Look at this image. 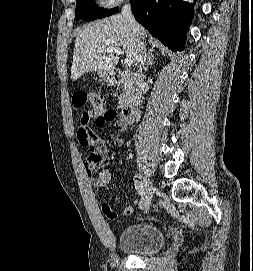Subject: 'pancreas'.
Instances as JSON below:
<instances>
[{
    "label": "pancreas",
    "mask_w": 253,
    "mask_h": 271,
    "mask_svg": "<svg viewBox=\"0 0 253 271\" xmlns=\"http://www.w3.org/2000/svg\"><path fill=\"white\" fill-rule=\"evenodd\" d=\"M123 92L119 96V107H125L134 97L135 88L132 80L126 81L123 84Z\"/></svg>",
    "instance_id": "obj_1"
}]
</instances>
